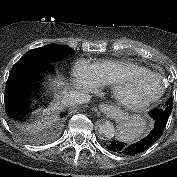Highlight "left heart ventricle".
Wrapping results in <instances>:
<instances>
[{"instance_id": "1", "label": "left heart ventricle", "mask_w": 177, "mask_h": 177, "mask_svg": "<svg viewBox=\"0 0 177 177\" xmlns=\"http://www.w3.org/2000/svg\"><path fill=\"white\" fill-rule=\"evenodd\" d=\"M161 83L152 77L129 78L124 84V96L132 101L146 99L159 92Z\"/></svg>"}]
</instances>
